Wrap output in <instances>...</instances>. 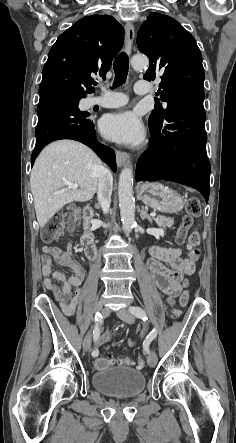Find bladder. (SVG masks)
Listing matches in <instances>:
<instances>
[{
  "instance_id": "31cf9c89",
  "label": "bladder",
  "mask_w": 236,
  "mask_h": 443,
  "mask_svg": "<svg viewBox=\"0 0 236 443\" xmlns=\"http://www.w3.org/2000/svg\"><path fill=\"white\" fill-rule=\"evenodd\" d=\"M94 388L112 398H134L146 385L143 373L131 367L101 369L92 376Z\"/></svg>"
}]
</instances>
